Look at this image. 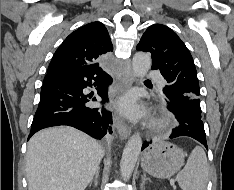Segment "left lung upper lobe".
<instances>
[{"label":"left lung upper lobe","mask_w":234,"mask_h":190,"mask_svg":"<svg viewBox=\"0 0 234 190\" xmlns=\"http://www.w3.org/2000/svg\"><path fill=\"white\" fill-rule=\"evenodd\" d=\"M137 50L152 54V68L159 69L167 81L163 94L179 101L201 117L200 89L193 58L177 36L162 24L151 25L141 37Z\"/></svg>","instance_id":"1"}]
</instances>
